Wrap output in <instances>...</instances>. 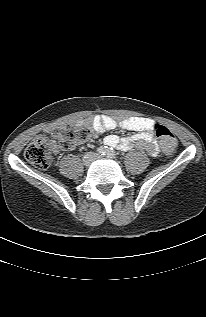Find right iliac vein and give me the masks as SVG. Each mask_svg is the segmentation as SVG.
<instances>
[{
  "instance_id": "right-iliac-vein-1",
  "label": "right iliac vein",
  "mask_w": 206,
  "mask_h": 317,
  "mask_svg": "<svg viewBox=\"0 0 206 317\" xmlns=\"http://www.w3.org/2000/svg\"><path fill=\"white\" fill-rule=\"evenodd\" d=\"M93 159H94V156L92 154L86 155L84 158V164L86 166H89L91 164V162L93 161Z\"/></svg>"
}]
</instances>
